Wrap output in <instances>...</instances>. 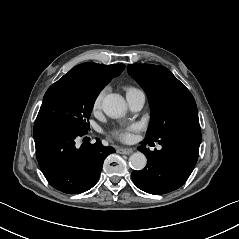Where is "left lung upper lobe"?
Returning a JSON list of instances; mask_svg holds the SVG:
<instances>
[{
    "label": "left lung upper lobe",
    "mask_w": 239,
    "mask_h": 239,
    "mask_svg": "<svg viewBox=\"0 0 239 239\" xmlns=\"http://www.w3.org/2000/svg\"><path fill=\"white\" fill-rule=\"evenodd\" d=\"M127 70L144 89L150 103L147 141H158L163 134L180 126H199L192 94L170 70L152 64H131Z\"/></svg>",
    "instance_id": "obj_1"
}]
</instances>
